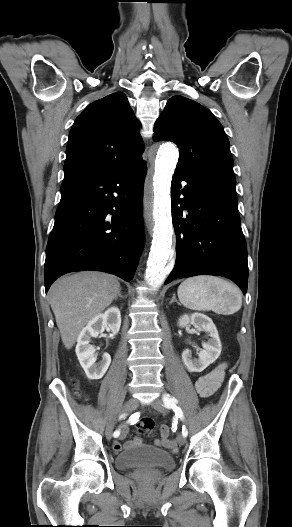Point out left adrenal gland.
I'll return each mask as SVG.
<instances>
[{
    "label": "left adrenal gland",
    "mask_w": 292,
    "mask_h": 527,
    "mask_svg": "<svg viewBox=\"0 0 292 527\" xmlns=\"http://www.w3.org/2000/svg\"><path fill=\"white\" fill-rule=\"evenodd\" d=\"M173 302H176L177 304H180V303L177 301V299H176V295H175V294H173V297H172V299H171V301H170V304L173 303Z\"/></svg>",
    "instance_id": "left-adrenal-gland-1"
}]
</instances>
